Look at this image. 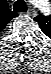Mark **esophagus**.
<instances>
[{"label":"esophagus","instance_id":"1","mask_svg":"<svg viewBox=\"0 0 51 74\" xmlns=\"http://www.w3.org/2000/svg\"><path fill=\"white\" fill-rule=\"evenodd\" d=\"M35 13H36L35 11H31L30 9L27 11V14L30 15V16H31L32 14H35Z\"/></svg>","mask_w":51,"mask_h":74}]
</instances>
